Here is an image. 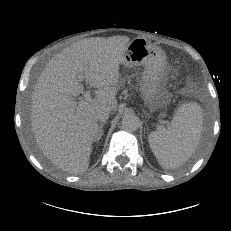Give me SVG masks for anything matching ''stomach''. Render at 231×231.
Segmentation results:
<instances>
[{"instance_id":"obj_1","label":"stomach","mask_w":231,"mask_h":231,"mask_svg":"<svg viewBox=\"0 0 231 231\" xmlns=\"http://www.w3.org/2000/svg\"><path fill=\"white\" fill-rule=\"evenodd\" d=\"M121 64L127 68L144 67L140 78L141 97L150 111L159 108L168 80L164 50L146 38L137 37L127 44Z\"/></svg>"}]
</instances>
